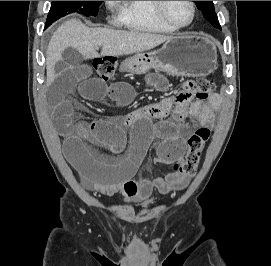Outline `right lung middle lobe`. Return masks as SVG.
I'll return each mask as SVG.
<instances>
[{
	"label": "right lung middle lobe",
	"mask_w": 271,
	"mask_h": 266,
	"mask_svg": "<svg viewBox=\"0 0 271 266\" xmlns=\"http://www.w3.org/2000/svg\"><path fill=\"white\" fill-rule=\"evenodd\" d=\"M102 1H52L45 28L59 18L77 12L86 16H96Z\"/></svg>",
	"instance_id": "dd1d6c3e"
}]
</instances>
